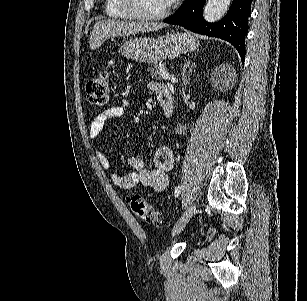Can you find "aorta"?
I'll return each mask as SVG.
<instances>
[{"label":"aorta","mask_w":307,"mask_h":301,"mask_svg":"<svg viewBox=\"0 0 307 301\" xmlns=\"http://www.w3.org/2000/svg\"><path fill=\"white\" fill-rule=\"evenodd\" d=\"M231 0H208L204 10L203 16L207 22H216L224 16L230 6ZM184 126H177L176 132L181 134Z\"/></svg>","instance_id":"obj_1"}]
</instances>
